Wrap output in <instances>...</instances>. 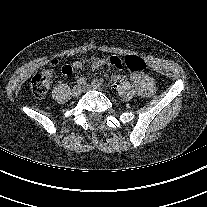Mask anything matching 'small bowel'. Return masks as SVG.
Here are the masks:
<instances>
[{"label": "small bowel", "instance_id": "obj_1", "mask_svg": "<svg viewBox=\"0 0 207 207\" xmlns=\"http://www.w3.org/2000/svg\"><path fill=\"white\" fill-rule=\"evenodd\" d=\"M104 64H109L111 66H114L118 69H120L122 67V61L119 57L117 56H111L108 58H103V59H96L93 60L88 68L89 69H97L100 66L104 65ZM73 67L75 70H84L87 68V66L82 62V61H75L73 63ZM62 74L66 75L69 74V71H64L62 70ZM121 83L125 84V85H129L132 84L136 87L137 92L144 97H148L150 96L155 89V83L152 80V78H150L148 75L146 74H135L131 77V82H127L125 79L123 78H119Z\"/></svg>", "mask_w": 207, "mask_h": 207}]
</instances>
